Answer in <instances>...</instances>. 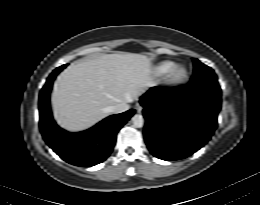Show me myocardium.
<instances>
[{
	"label": "myocardium",
	"instance_id": "f54148a6",
	"mask_svg": "<svg viewBox=\"0 0 260 205\" xmlns=\"http://www.w3.org/2000/svg\"><path fill=\"white\" fill-rule=\"evenodd\" d=\"M188 79V71L183 66H174L167 75V84L171 87L178 86Z\"/></svg>",
	"mask_w": 260,
	"mask_h": 205
}]
</instances>
